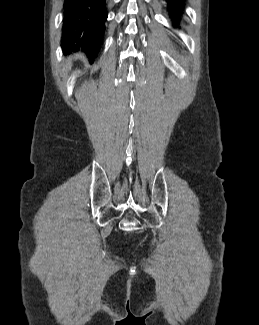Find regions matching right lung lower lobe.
Wrapping results in <instances>:
<instances>
[{"label":"right lung lower lobe","mask_w":259,"mask_h":325,"mask_svg":"<svg viewBox=\"0 0 259 325\" xmlns=\"http://www.w3.org/2000/svg\"><path fill=\"white\" fill-rule=\"evenodd\" d=\"M106 19L105 0H65L61 46L94 57L102 45Z\"/></svg>","instance_id":"1"}]
</instances>
